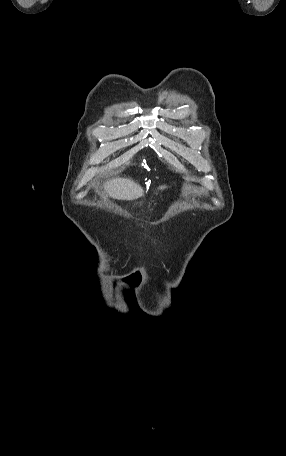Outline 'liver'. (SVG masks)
Segmentation results:
<instances>
[{
  "label": "liver",
  "mask_w": 286,
  "mask_h": 456,
  "mask_svg": "<svg viewBox=\"0 0 286 456\" xmlns=\"http://www.w3.org/2000/svg\"><path fill=\"white\" fill-rule=\"evenodd\" d=\"M166 186L159 187L160 190ZM105 190L110 197L118 200H134L142 197L144 191L142 187L131 179L116 178L105 184Z\"/></svg>",
  "instance_id": "obj_1"
}]
</instances>
